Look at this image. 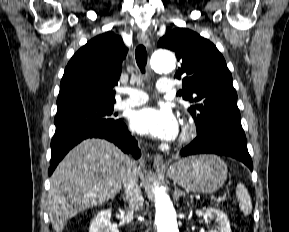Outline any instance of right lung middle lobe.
I'll use <instances>...</instances> for the list:
<instances>
[{
  "label": "right lung middle lobe",
  "mask_w": 289,
  "mask_h": 232,
  "mask_svg": "<svg viewBox=\"0 0 289 232\" xmlns=\"http://www.w3.org/2000/svg\"><path fill=\"white\" fill-rule=\"evenodd\" d=\"M112 104H80L60 108L54 119L57 127L73 124H113L120 119H114Z\"/></svg>",
  "instance_id": "dd1d6c3e"
}]
</instances>
